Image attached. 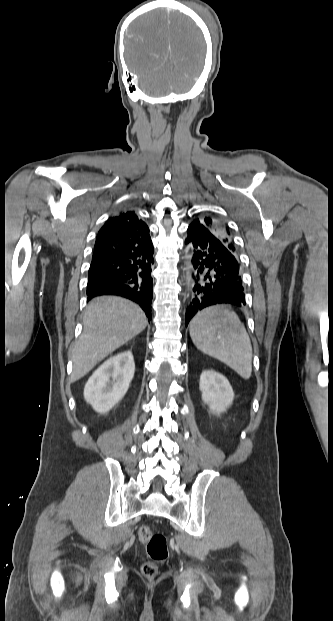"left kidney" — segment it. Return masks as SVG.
<instances>
[{
  "instance_id": "1",
  "label": "left kidney",
  "mask_w": 333,
  "mask_h": 621,
  "mask_svg": "<svg viewBox=\"0 0 333 621\" xmlns=\"http://www.w3.org/2000/svg\"><path fill=\"white\" fill-rule=\"evenodd\" d=\"M200 391L202 400L209 405L214 414L225 412L232 404L234 392L229 381L220 373L205 370L200 376Z\"/></svg>"
}]
</instances>
